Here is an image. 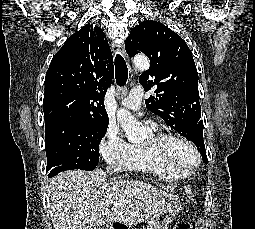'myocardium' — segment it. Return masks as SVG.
<instances>
[{
  "label": "myocardium",
  "mask_w": 255,
  "mask_h": 229,
  "mask_svg": "<svg viewBox=\"0 0 255 229\" xmlns=\"http://www.w3.org/2000/svg\"><path fill=\"white\" fill-rule=\"evenodd\" d=\"M169 140H177L185 144L187 147H189L195 156L194 162L190 165H185V166H177L173 164L172 162H170L162 151V145ZM145 145L154 156H156L170 170H173V171L193 172L195 169L199 167L201 163V154L199 150L197 149V147L194 145V143L190 141L188 138H186L185 136L177 134V133L162 132V133L154 134L151 137L150 141L145 143Z\"/></svg>",
  "instance_id": "myocardium-1"
}]
</instances>
